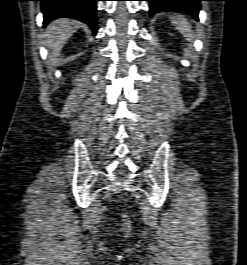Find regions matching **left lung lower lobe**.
<instances>
[{
    "label": "left lung lower lobe",
    "instance_id": "obj_1",
    "mask_svg": "<svg viewBox=\"0 0 247 265\" xmlns=\"http://www.w3.org/2000/svg\"><path fill=\"white\" fill-rule=\"evenodd\" d=\"M150 1V13L158 11H180L198 18L200 1L206 0H145Z\"/></svg>",
    "mask_w": 247,
    "mask_h": 265
}]
</instances>
